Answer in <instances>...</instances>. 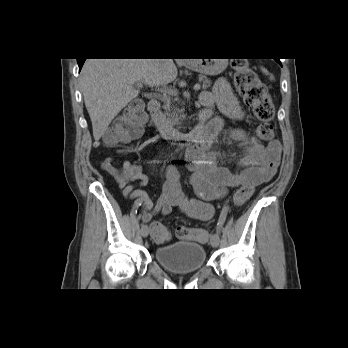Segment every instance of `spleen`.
<instances>
[{
    "label": "spleen",
    "instance_id": "spleen-1",
    "mask_svg": "<svg viewBox=\"0 0 348 348\" xmlns=\"http://www.w3.org/2000/svg\"><path fill=\"white\" fill-rule=\"evenodd\" d=\"M262 71H263V73L268 74V72L265 69H263V68H262ZM270 79H273V77L270 76Z\"/></svg>",
    "mask_w": 348,
    "mask_h": 348
}]
</instances>
